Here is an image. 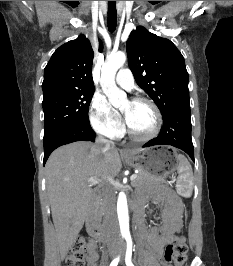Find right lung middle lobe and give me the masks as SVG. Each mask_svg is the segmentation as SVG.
<instances>
[{
  "instance_id": "obj_1",
  "label": "right lung middle lobe",
  "mask_w": 233,
  "mask_h": 266,
  "mask_svg": "<svg viewBox=\"0 0 233 266\" xmlns=\"http://www.w3.org/2000/svg\"><path fill=\"white\" fill-rule=\"evenodd\" d=\"M93 94L94 89H87L45 95L42 102L44 136L66 126L89 124L88 109Z\"/></svg>"
}]
</instances>
